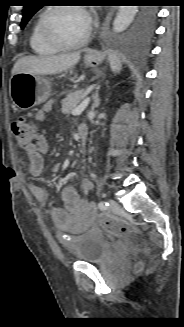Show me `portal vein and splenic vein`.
I'll return each mask as SVG.
<instances>
[{
    "label": "portal vein and splenic vein",
    "instance_id": "obj_1",
    "mask_svg": "<svg viewBox=\"0 0 184 327\" xmlns=\"http://www.w3.org/2000/svg\"><path fill=\"white\" fill-rule=\"evenodd\" d=\"M89 102H90V98L84 99L78 107L72 110V115H80L88 106Z\"/></svg>",
    "mask_w": 184,
    "mask_h": 327
}]
</instances>
